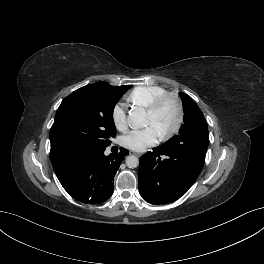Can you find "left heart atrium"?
<instances>
[{"label": "left heart atrium", "mask_w": 264, "mask_h": 264, "mask_svg": "<svg viewBox=\"0 0 264 264\" xmlns=\"http://www.w3.org/2000/svg\"><path fill=\"white\" fill-rule=\"evenodd\" d=\"M160 137L159 132L152 125L143 129H136L130 131L123 137V145L135 151H142L149 146L157 143Z\"/></svg>", "instance_id": "39dd6f15"}]
</instances>
